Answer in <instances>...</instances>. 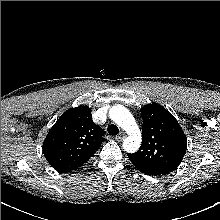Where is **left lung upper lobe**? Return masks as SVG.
Returning <instances> with one entry per match:
<instances>
[{"label":"left lung upper lobe","instance_id":"5c2ea615","mask_svg":"<svg viewBox=\"0 0 220 220\" xmlns=\"http://www.w3.org/2000/svg\"><path fill=\"white\" fill-rule=\"evenodd\" d=\"M140 111L142 144L136 153L129 156L162 175L168 174L182 162L187 138L177 120L163 106L148 104Z\"/></svg>","mask_w":220,"mask_h":220}]
</instances>
